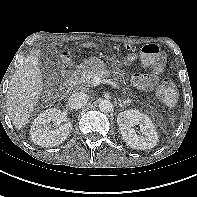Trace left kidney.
<instances>
[{"label":"left kidney","instance_id":"obj_1","mask_svg":"<svg viewBox=\"0 0 197 197\" xmlns=\"http://www.w3.org/2000/svg\"><path fill=\"white\" fill-rule=\"evenodd\" d=\"M123 140L134 149L145 150L156 146L158 134L150 118L139 110H127L117 117ZM134 125H140L142 136L137 135Z\"/></svg>","mask_w":197,"mask_h":197}]
</instances>
